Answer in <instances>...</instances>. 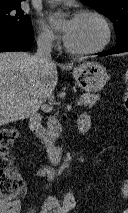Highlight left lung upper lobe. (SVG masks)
<instances>
[{
	"instance_id": "left-lung-upper-lobe-1",
	"label": "left lung upper lobe",
	"mask_w": 128,
	"mask_h": 213,
	"mask_svg": "<svg viewBox=\"0 0 128 213\" xmlns=\"http://www.w3.org/2000/svg\"><path fill=\"white\" fill-rule=\"evenodd\" d=\"M85 4L107 16L116 29V44L128 39V0H83Z\"/></svg>"
}]
</instances>
